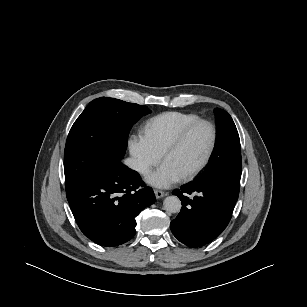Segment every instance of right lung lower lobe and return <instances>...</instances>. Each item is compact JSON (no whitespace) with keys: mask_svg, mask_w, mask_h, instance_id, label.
<instances>
[{"mask_svg":"<svg viewBox=\"0 0 307 307\" xmlns=\"http://www.w3.org/2000/svg\"><path fill=\"white\" fill-rule=\"evenodd\" d=\"M66 195L82 233L107 247L129 241L135 235V217L155 202L152 189L121 161Z\"/></svg>","mask_w":307,"mask_h":307,"instance_id":"98d812e1","label":"right lung lower lobe"}]
</instances>
